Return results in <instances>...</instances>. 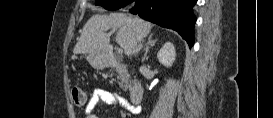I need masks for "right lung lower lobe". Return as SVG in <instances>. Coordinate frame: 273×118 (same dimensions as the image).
I'll list each match as a JSON object with an SVG mask.
<instances>
[{"label":"right lung lower lobe","mask_w":273,"mask_h":118,"mask_svg":"<svg viewBox=\"0 0 273 118\" xmlns=\"http://www.w3.org/2000/svg\"><path fill=\"white\" fill-rule=\"evenodd\" d=\"M197 0H136L130 10L134 15L177 31L188 43L194 44V24L196 17L192 8Z\"/></svg>","instance_id":"obj_1"}]
</instances>
